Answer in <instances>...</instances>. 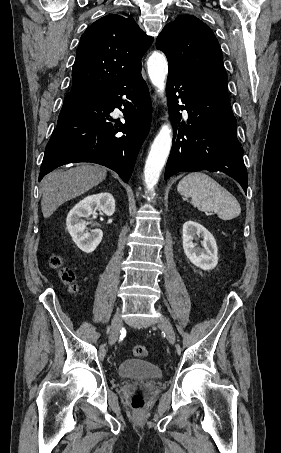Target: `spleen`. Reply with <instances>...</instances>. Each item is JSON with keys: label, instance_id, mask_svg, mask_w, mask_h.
<instances>
[{"label": "spleen", "instance_id": "spleen-1", "mask_svg": "<svg viewBox=\"0 0 281 453\" xmlns=\"http://www.w3.org/2000/svg\"><path fill=\"white\" fill-rule=\"evenodd\" d=\"M177 190L182 196H191V204L198 210L215 212L222 220L236 218L241 212L237 198L205 172L186 174L178 182Z\"/></svg>", "mask_w": 281, "mask_h": 453}]
</instances>
